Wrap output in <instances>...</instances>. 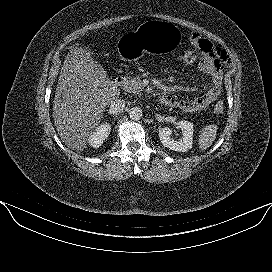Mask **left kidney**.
<instances>
[{
	"label": "left kidney",
	"instance_id": "left-kidney-1",
	"mask_svg": "<svg viewBox=\"0 0 272 272\" xmlns=\"http://www.w3.org/2000/svg\"><path fill=\"white\" fill-rule=\"evenodd\" d=\"M177 128L182 131V137L178 140L171 138V130L168 127L159 130V138L164 147L178 152H186L193 144V124L189 121H179Z\"/></svg>",
	"mask_w": 272,
	"mask_h": 272
}]
</instances>
